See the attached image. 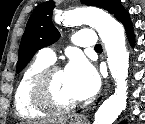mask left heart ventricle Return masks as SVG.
I'll use <instances>...</instances> for the list:
<instances>
[{"instance_id": "obj_1", "label": "left heart ventricle", "mask_w": 145, "mask_h": 124, "mask_svg": "<svg viewBox=\"0 0 145 124\" xmlns=\"http://www.w3.org/2000/svg\"><path fill=\"white\" fill-rule=\"evenodd\" d=\"M52 91L55 98L61 103L67 104L77 101L70 89L63 70L54 74L52 79Z\"/></svg>"}]
</instances>
